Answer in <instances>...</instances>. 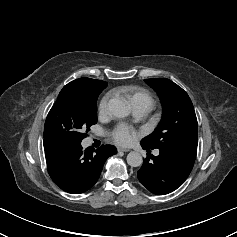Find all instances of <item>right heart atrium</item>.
I'll use <instances>...</instances> for the list:
<instances>
[{
	"label": "right heart atrium",
	"mask_w": 237,
	"mask_h": 237,
	"mask_svg": "<svg viewBox=\"0 0 237 237\" xmlns=\"http://www.w3.org/2000/svg\"><path fill=\"white\" fill-rule=\"evenodd\" d=\"M109 98H110V94H106L101 99V101L99 103V106H98V110H99L100 114H105L106 113L107 108H108Z\"/></svg>",
	"instance_id": "d8ad5b80"
}]
</instances>
